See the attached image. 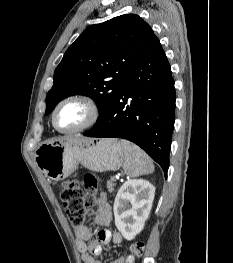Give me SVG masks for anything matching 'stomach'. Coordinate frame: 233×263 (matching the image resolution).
<instances>
[{
	"label": "stomach",
	"instance_id": "1",
	"mask_svg": "<svg viewBox=\"0 0 233 263\" xmlns=\"http://www.w3.org/2000/svg\"><path fill=\"white\" fill-rule=\"evenodd\" d=\"M124 158L122 143L112 138L64 137L41 144L35 152L38 168L54 181L67 178L79 163L96 172L116 171Z\"/></svg>",
	"mask_w": 233,
	"mask_h": 263
}]
</instances>
